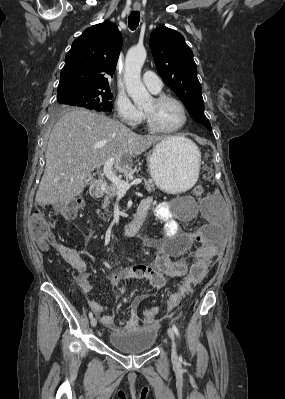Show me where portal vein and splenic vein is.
Segmentation results:
<instances>
[{
    "label": "portal vein and splenic vein",
    "instance_id": "obj_1",
    "mask_svg": "<svg viewBox=\"0 0 285 399\" xmlns=\"http://www.w3.org/2000/svg\"><path fill=\"white\" fill-rule=\"evenodd\" d=\"M114 164V159H109L105 162L104 168H103V173L105 177L114 185L116 186L117 190L119 193H126L128 189L133 186V185H138L142 182L141 179H135L132 182L128 183L126 181H123L119 177L115 175V173L112 171V166Z\"/></svg>",
    "mask_w": 285,
    "mask_h": 399
}]
</instances>
